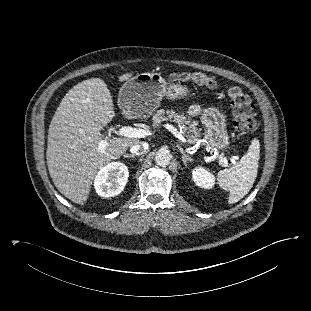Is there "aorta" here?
Wrapping results in <instances>:
<instances>
[{
	"label": "aorta",
	"mask_w": 311,
	"mask_h": 311,
	"mask_svg": "<svg viewBox=\"0 0 311 311\" xmlns=\"http://www.w3.org/2000/svg\"><path fill=\"white\" fill-rule=\"evenodd\" d=\"M171 154L167 149H160L155 156V162L158 166L165 167L170 163Z\"/></svg>",
	"instance_id": "1"
}]
</instances>
